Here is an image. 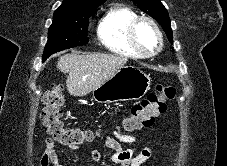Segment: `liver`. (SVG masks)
Returning a JSON list of instances; mask_svg holds the SVG:
<instances>
[{"label":"liver","instance_id":"6515ba94","mask_svg":"<svg viewBox=\"0 0 227 166\" xmlns=\"http://www.w3.org/2000/svg\"><path fill=\"white\" fill-rule=\"evenodd\" d=\"M127 61V57L119 55L71 53L58 59L57 68L69 74L66 80L69 94L82 97L106 82Z\"/></svg>","mask_w":227,"mask_h":166}]
</instances>
